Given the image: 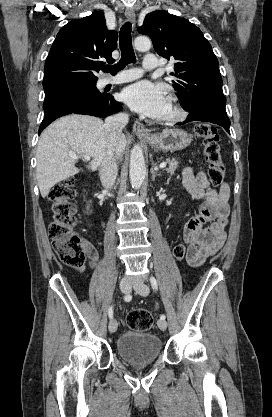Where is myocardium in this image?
I'll list each match as a JSON object with an SVG mask.
<instances>
[{
    "label": "myocardium",
    "mask_w": 272,
    "mask_h": 417,
    "mask_svg": "<svg viewBox=\"0 0 272 417\" xmlns=\"http://www.w3.org/2000/svg\"><path fill=\"white\" fill-rule=\"evenodd\" d=\"M170 113L162 116L160 122L166 125L176 124L186 118V111L175 96L169 98Z\"/></svg>",
    "instance_id": "f54148a6"
}]
</instances>
